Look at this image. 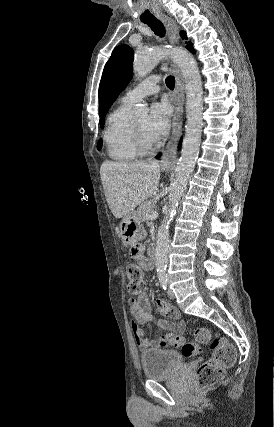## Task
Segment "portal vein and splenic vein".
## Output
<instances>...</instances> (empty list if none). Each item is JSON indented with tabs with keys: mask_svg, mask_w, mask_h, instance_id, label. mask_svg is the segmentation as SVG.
Returning a JSON list of instances; mask_svg holds the SVG:
<instances>
[{
	"mask_svg": "<svg viewBox=\"0 0 274 427\" xmlns=\"http://www.w3.org/2000/svg\"><path fill=\"white\" fill-rule=\"evenodd\" d=\"M157 215V212H153V214L149 215V217H151V219H156Z\"/></svg>",
	"mask_w": 274,
	"mask_h": 427,
	"instance_id": "portal-vein-and-splenic-vein-1",
	"label": "portal vein and splenic vein"
}]
</instances>
